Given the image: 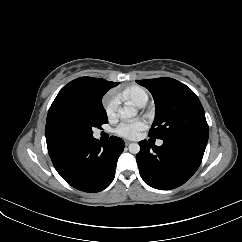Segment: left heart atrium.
Listing matches in <instances>:
<instances>
[{"label":"left heart atrium","mask_w":242,"mask_h":242,"mask_svg":"<svg viewBox=\"0 0 242 242\" xmlns=\"http://www.w3.org/2000/svg\"><path fill=\"white\" fill-rule=\"evenodd\" d=\"M147 123L144 120L123 122L115 130L116 134L126 139H136L145 130Z\"/></svg>","instance_id":"left-heart-atrium-1"}]
</instances>
